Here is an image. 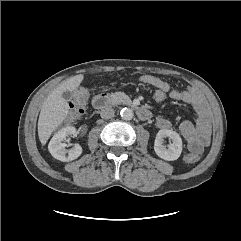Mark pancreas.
<instances>
[{
    "label": "pancreas",
    "instance_id": "1",
    "mask_svg": "<svg viewBox=\"0 0 241 241\" xmlns=\"http://www.w3.org/2000/svg\"><path fill=\"white\" fill-rule=\"evenodd\" d=\"M111 102L113 104H120L123 103L125 99H127V96L122 92H115L110 95Z\"/></svg>",
    "mask_w": 241,
    "mask_h": 241
}]
</instances>
